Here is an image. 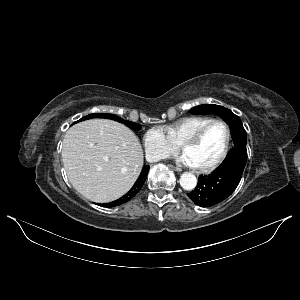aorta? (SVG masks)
<instances>
[{"mask_svg": "<svg viewBox=\"0 0 300 300\" xmlns=\"http://www.w3.org/2000/svg\"><path fill=\"white\" fill-rule=\"evenodd\" d=\"M180 185L184 190H193L197 185V178L190 172H184L180 177Z\"/></svg>", "mask_w": 300, "mask_h": 300, "instance_id": "1", "label": "aorta"}]
</instances>
